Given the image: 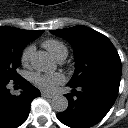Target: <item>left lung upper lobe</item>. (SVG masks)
<instances>
[{
  "mask_svg": "<svg viewBox=\"0 0 128 128\" xmlns=\"http://www.w3.org/2000/svg\"><path fill=\"white\" fill-rule=\"evenodd\" d=\"M50 32L73 46L76 69L68 84H81L96 73L121 75L120 57L105 35L83 25Z\"/></svg>",
  "mask_w": 128,
  "mask_h": 128,
  "instance_id": "1",
  "label": "left lung upper lobe"
}]
</instances>
